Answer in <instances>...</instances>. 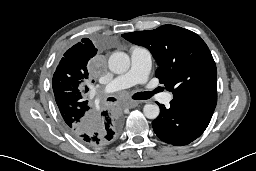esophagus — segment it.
I'll return each mask as SVG.
<instances>
[{
    "instance_id": "1",
    "label": "esophagus",
    "mask_w": 256,
    "mask_h": 171,
    "mask_svg": "<svg viewBox=\"0 0 256 171\" xmlns=\"http://www.w3.org/2000/svg\"><path fill=\"white\" fill-rule=\"evenodd\" d=\"M142 101H136V100H132L126 103L128 108H135L137 107Z\"/></svg>"
}]
</instances>
